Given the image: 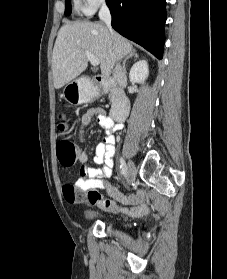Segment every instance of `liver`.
I'll return each mask as SVG.
<instances>
[{
	"instance_id": "1",
	"label": "liver",
	"mask_w": 227,
	"mask_h": 279,
	"mask_svg": "<svg viewBox=\"0 0 227 279\" xmlns=\"http://www.w3.org/2000/svg\"><path fill=\"white\" fill-rule=\"evenodd\" d=\"M99 59L102 76L108 78L123 57L133 51L130 42L102 23L75 21L64 24L52 54L53 83L56 89L78 77L88 66L85 51Z\"/></svg>"
}]
</instances>
